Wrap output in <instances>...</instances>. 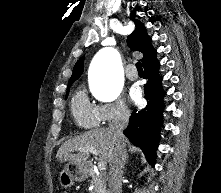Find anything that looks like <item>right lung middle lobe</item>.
<instances>
[{
  "label": "right lung middle lobe",
  "instance_id": "right-lung-middle-lobe-1",
  "mask_svg": "<svg viewBox=\"0 0 221 193\" xmlns=\"http://www.w3.org/2000/svg\"><path fill=\"white\" fill-rule=\"evenodd\" d=\"M71 84H72V83H70V84L68 85V87H69ZM68 93H69V89L67 90L66 97L68 96Z\"/></svg>",
  "mask_w": 221,
  "mask_h": 193
}]
</instances>
